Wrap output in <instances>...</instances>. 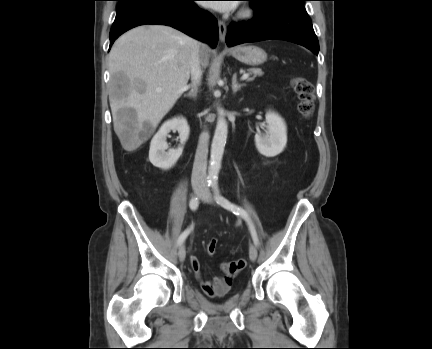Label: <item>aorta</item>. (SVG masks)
Segmentation results:
<instances>
[{"mask_svg":"<svg viewBox=\"0 0 432 349\" xmlns=\"http://www.w3.org/2000/svg\"><path fill=\"white\" fill-rule=\"evenodd\" d=\"M228 125L222 113L218 114L216 129L211 145L210 166L208 171V179L216 181L221 169L224 148L227 140Z\"/></svg>","mask_w":432,"mask_h":349,"instance_id":"762f6f07","label":"aorta"}]
</instances>
